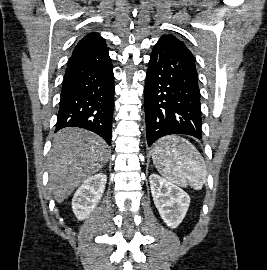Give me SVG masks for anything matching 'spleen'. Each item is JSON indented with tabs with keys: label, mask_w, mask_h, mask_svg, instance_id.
I'll return each mask as SVG.
<instances>
[{
	"label": "spleen",
	"mask_w": 267,
	"mask_h": 270,
	"mask_svg": "<svg viewBox=\"0 0 267 270\" xmlns=\"http://www.w3.org/2000/svg\"><path fill=\"white\" fill-rule=\"evenodd\" d=\"M158 172L179 186L188 184L202 189L206 180V164L199 151L186 139L170 135L158 141L152 154Z\"/></svg>",
	"instance_id": "1"
}]
</instances>
